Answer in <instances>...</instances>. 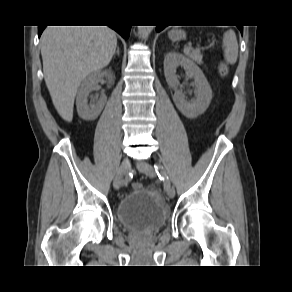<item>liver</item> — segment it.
I'll return each mask as SVG.
<instances>
[{
	"label": "liver",
	"mask_w": 292,
	"mask_h": 292,
	"mask_svg": "<svg viewBox=\"0 0 292 292\" xmlns=\"http://www.w3.org/2000/svg\"><path fill=\"white\" fill-rule=\"evenodd\" d=\"M40 46L53 105L71 122L78 87L86 76L110 63L117 47L116 33L107 26H48Z\"/></svg>",
	"instance_id": "liver-1"
}]
</instances>
